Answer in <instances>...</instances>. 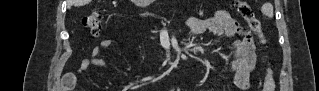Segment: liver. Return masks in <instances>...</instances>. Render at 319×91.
<instances>
[{
    "label": "liver",
    "instance_id": "liver-1",
    "mask_svg": "<svg viewBox=\"0 0 319 91\" xmlns=\"http://www.w3.org/2000/svg\"><path fill=\"white\" fill-rule=\"evenodd\" d=\"M90 0H73V3L75 6H83L85 4H88Z\"/></svg>",
    "mask_w": 319,
    "mask_h": 91
}]
</instances>
